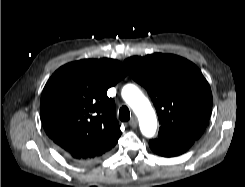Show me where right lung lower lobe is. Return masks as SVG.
<instances>
[{
    "mask_svg": "<svg viewBox=\"0 0 245 187\" xmlns=\"http://www.w3.org/2000/svg\"><path fill=\"white\" fill-rule=\"evenodd\" d=\"M60 152H61L63 155H65L67 158H69L63 151L60 150ZM69 159H71V158H69ZM71 160H73V161H75V162H78V163H82V164H84V163H90V162H87V161H84V160H74V159H71Z\"/></svg>",
    "mask_w": 245,
    "mask_h": 187,
    "instance_id": "98d812e1",
    "label": "right lung lower lobe"
}]
</instances>
